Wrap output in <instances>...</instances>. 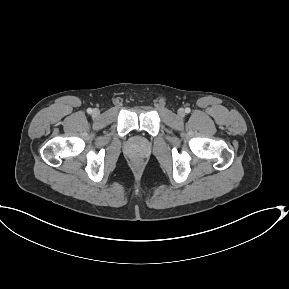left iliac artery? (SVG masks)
<instances>
[{"label": "left iliac artery", "instance_id": "left-iliac-artery-1", "mask_svg": "<svg viewBox=\"0 0 289 289\" xmlns=\"http://www.w3.org/2000/svg\"><path fill=\"white\" fill-rule=\"evenodd\" d=\"M190 111H191L190 108H188V107L185 108V112H186V113H190Z\"/></svg>", "mask_w": 289, "mask_h": 289}]
</instances>
